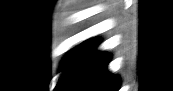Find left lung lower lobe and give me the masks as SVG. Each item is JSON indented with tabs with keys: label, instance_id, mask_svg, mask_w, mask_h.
Masks as SVG:
<instances>
[{
	"label": "left lung lower lobe",
	"instance_id": "left-lung-lower-lobe-1",
	"mask_svg": "<svg viewBox=\"0 0 173 91\" xmlns=\"http://www.w3.org/2000/svg\"><path fill=\"white\" fill-rule=\"evenodd\" d=\"M99 41L88 40L79 45L65 64L68 68L57 85L59 91H118L120 79L111 76L106 67L110 55L96 52Z\"/></svg>",
	"mask_w": 173,
	"mask_h": 91
}]
</instances>
